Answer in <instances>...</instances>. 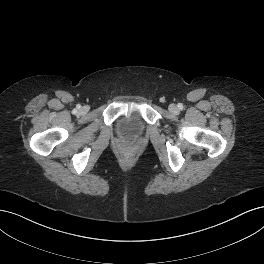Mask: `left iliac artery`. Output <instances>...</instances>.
Masks as SVG:
<instances>
[{
    "label": "left iliac artery",
    "mask_w": 264,
    "mask_h": 264,
    "mask_svg": "<svg viewBox=\"0 0 264 264\" xmlns=\"http://www.w3.org/2000/svg\"><path fill=\"white\" fill-rule=\"evenodd\" d=\"M178 107H179L180 109H182L183 106H182V104H179Z\"/></svg>",
    "instance_id": "left-iliac-artery-1"
}]
</instances>
